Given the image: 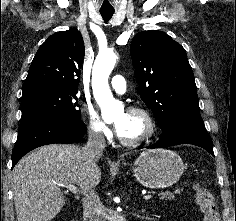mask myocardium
<instances>
[{
    "label": "myocardium",
    "instance_id": "1",
    "mask_svg": "<svg viewBox=\"0 0 236 221\" xmlns=\"http://www.w3.org/2000/svg\"><path fill=\"white\" fill-rule=\"evenodd\" d=\"M127 112L139 114V115L143 116L147 122L148 129H147V132L142 137L137 138V139H133V140L124 139L118 133V139H119L120 143L125 146L132 147V146H139V145H142V144L150 141L155 136V134L157 132V123H156V120H155L154 116L152 115V113L148 109H146L144 107H140V106H131L127 109Z\"/></svg>",
    "mask_w": 236,
    "mask_h": 221
}]
</instances>
